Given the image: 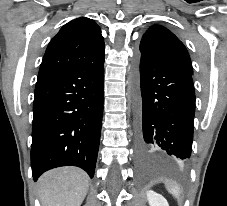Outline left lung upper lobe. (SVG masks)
Segmentation results:
<instances>
[{
  "label": "left lung upper lobe",
  "mask_w": 227,
  "mask_h": 206,
  "mask_svg": "<svg viewBox=\"0 0 227 206\" xmlns=\"http://www.w3.org/2000/svg\"><path fill=\"white\" fill-rule=\"evenodd\" d=\"M139 56L167 63L193 73L190 56L183 43L167 28L151 26L143 35Z\"/></svg>",
  "instance_id": "obj_1"
}]
</instances>
